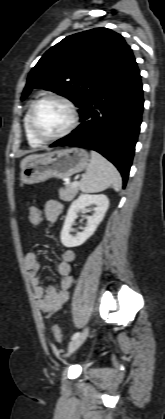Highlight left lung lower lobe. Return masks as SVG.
I'll use <instances>...</instances> for the list:
<instances>
[{"mask_svg":"<svg viewBox=\"0 0 165 419\" xmlns=\"http://www.w3.org/2000/svg\"><path fill=\"white\" fill-rule=\"evenodd\" d=\"M140 71L131 58L80 109L81 124L50 147L92 149L112 162L126 185L143 111Z\"/></svg>","mask_w":165,"mask_h":419,"instance_id":"1","label":"left lung lower lobe"}]
</instances>
